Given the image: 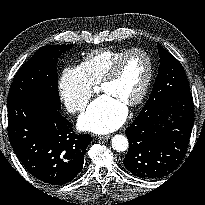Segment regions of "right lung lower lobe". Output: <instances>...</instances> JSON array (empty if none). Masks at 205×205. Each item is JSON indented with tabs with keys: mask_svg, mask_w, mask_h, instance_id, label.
<instances>
[{
	"mask_svg": "<svg viewBox=\"0 0 205 205\" xmlns=\"http://www.w3.org/2000/svg\"><path fill=\"white\" fill-rule=\"evenodd\" d=\"M73 124L46 102L8 100V136L17 157L38 180L63 185L81 172L89 134L76 135Z\"/></svg>",
	"mask_w": 205,
	"mask_h": 205,
	"instance_id": "1",
	"label": "right lung lower lobe"
}]
</instances>
